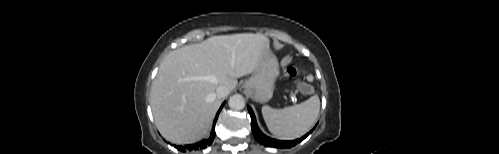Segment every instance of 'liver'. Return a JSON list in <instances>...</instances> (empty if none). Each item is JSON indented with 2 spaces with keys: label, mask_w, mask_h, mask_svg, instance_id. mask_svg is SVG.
Here are the masks:
<instances>
[{
  "label": "liver",
  "mask_w": 499,
  "mask_h": 154,
  "mask_svg": "<svg viewBox=\"0 0 499 154\" xmlns=\"http://www.w3.org/2000/svg\"><path fill=\"white\" fill-rule=\"evenodd\" d=\"M268 51L265 35L241 33L213 36L170 52L160 65L150 97L162 136L175 144L205 137L221 103L218 86L234 90L237 79L255 72Z\"/></svg>",
  "instance_id": "obj_1"
}]
</instances>
